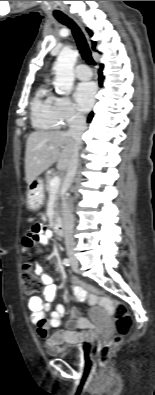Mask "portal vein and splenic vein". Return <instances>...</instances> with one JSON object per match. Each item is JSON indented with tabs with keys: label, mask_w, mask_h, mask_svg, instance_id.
<instances>
[{
	"label": "portal vein and splenic vein",
	"mask_w": 155,
	"mask_h": 395,
	"mask_svg": "<svg viewBox=\"0 0 155 395\" xmlns=\"http://www.w3.org/2000/svg\"><path fill=\"white\" fill-rule=\"evenodd\" d=\"M59 186H60V178L59 176L55 175L50 182L51 190L57 191Z\"/></svg>",
	"instance_id": "18ae733b"
}]
</instances>
